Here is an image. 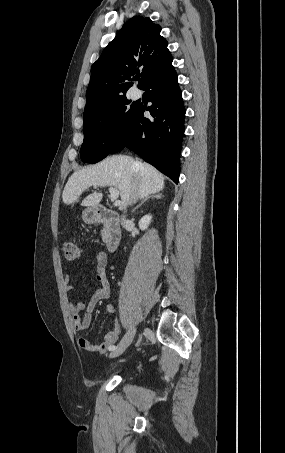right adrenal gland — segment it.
<instances>
[{
  "instance_id": "obj_1",
  "label": "right adrenal gland",
  "mask_w": 285,
  "mask_h": 453,
  "mask_svg": "<svg viewBox=\"0 0 285 453\" xmlns=\"http://www.w3.org/2000/svg\"><path fill=\"white\" fill-rule=\"evenodd\" d=\"M161 197H162L161 194H154V195H151V196H147L136 208H134L132 210V213H134L138 208H140L147 200L153 199V198L160 199Z\"/></svg>"
}]
</instances>
